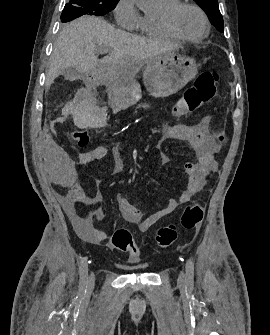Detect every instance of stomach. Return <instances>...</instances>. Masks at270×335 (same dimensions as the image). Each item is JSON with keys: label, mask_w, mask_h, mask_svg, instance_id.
I'll return each mask as SVG.
<instances>
[{"label": "stomach", "mask_w": 270, "mask_h": 335, "mask_svg": "<svg viewBox=\"0 0 270 335\" xmlns=\"http://www.w3.org/2000/svg\"><path fill=\"white\" fill-rule=\"evenodd\" d=\"M198 74V64L194 58L185 54H163L154 56L147 62L143 74L144 86L153 98H168L179 92ZM120 88L122 104L125 108L133 106L142 98L138 82H124Z\"/></svg>", "instance_id": "stomach-1"}]
</instances>
